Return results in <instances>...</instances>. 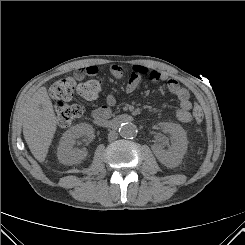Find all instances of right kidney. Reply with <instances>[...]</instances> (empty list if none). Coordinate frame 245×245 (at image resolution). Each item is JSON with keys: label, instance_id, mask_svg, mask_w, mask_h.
Wrapping results in <instances>:
<instances>
[{"label": "right kidney", "instance_id": "obj_1", "mask_svg": "<svg viewBox=\"0 0 245 245\" xmlns=\"http://www.w3.org/2000/svg\"><path fill=\"white\" fill-rule=\"evenodd\" d=\"M94 137V129L86 123L77 124L68 129L63 136L58 147V160L66 165L79 163L87 155L86 149H77L74 147L76 140L86 138L91 141Z\"/></svg>", "mask_w": 245, "mask_h": 245}]
</instances>
